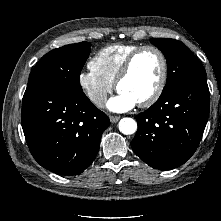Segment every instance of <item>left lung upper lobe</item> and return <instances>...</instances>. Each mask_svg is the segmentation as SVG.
<instances>
[{
    "mask_svg": "<svg viewBox=\"0 0 221 221\" xmlns=\"http://www.w3.org/2000/svg\"><path fill=\"white\" fill-rule=\"evenodd\" d=\"M150 41L167 59V82L162 93L175 88L187 79L206 76L202 64L182 42L170 38H152Z\"/></svg>",
    "mask_w": 221,
    "mask_h": 221,
    "instance_id": "5c2ea615",
    "label": "left lung upper lobe"
}]
</instances>
